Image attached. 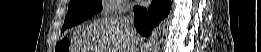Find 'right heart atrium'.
<instances>
[{
	"label": "right heart atrium",
	"instance_id": "d8ad5b80",
	"mask_svg": "<svg viewBox=\"0 0 261 52\" xmlns=\"http://www.w3.org/2000/svg\"><path fill=\"white\" fill-rule=\"evenodd\" d=\"M128 4L124 0H105L103 1L104 13L108 16H115L123 13Z\"/></svg>",
	"mask_w": 261,
	"mask_h": 52
}]
</instances>
